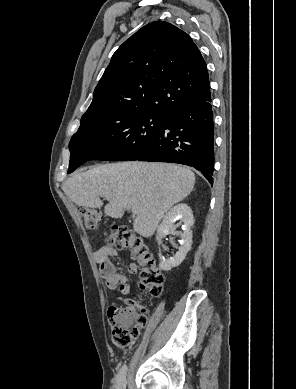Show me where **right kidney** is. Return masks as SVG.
I'll return each instance as SVG.
<instances>
[{
	"instance_id": "1",
	"label": "right kidney",
	"mask_w": 296,
	"mask_h": 389,
	"mask_svg": "<svg viewBox=\"0 0 296 389\" xmlns=\"http://www.w3.org/2000/svg\"><path fill=\"white\" fill-rule=\"evenodd\" d=\"M179 221L182 224L183 232H176L175 224ZM194 225V218L192 209L184 203L178 204L171 208L165 215L163 221L157 228V241L159 244L162 243V239L168 234L180 235V246L176 254L169 258H163L160 261L159 267L161 270L169 271L172 268L179 266L185 259L186 254L190 251L192 246V231L191 227Z\"/></svg>"
}]
</instances>
